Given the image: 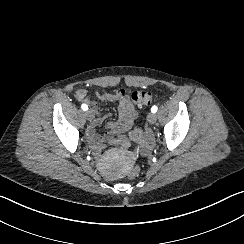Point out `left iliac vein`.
<instances>
[{"mask_svg":"<svg viewBox=\"0 0 244 244\" xmlns=\"http://www.w3.org/2000/svg\"><path fill=\"white\" fill-rule=\"evenodd\" d=\"M157 120V115L155 113H149L148 116H147V121L150 123V124H154Z\"/></svg>","mask_w":244,"mask_h":244,"instance_id":"obj_1","label":"left iliac vein"}]
</instances>
